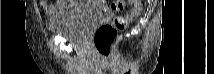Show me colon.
<instances>
[{"instance_id": "5ec220e1", "label": "colon", "mask_w": 214, "mask_h": 74, "mask_svg": "<svg viewBox=\"0 0 214 74\" xmlns=\"http://www.w3.org/2000/svg\"><path fill=\"white\" fill-rule=\"evenodd\" d=\"M132 4L131 11L124 16H117L112 22L100 25L93 35V45L98 54L102 57H109L112 51L113 41L118 31L125 30L130 23L142 11V2L139 0H130ZM125 1L111 2L112 11H120L124 8Z\"/></svg>"}]
</instances>
